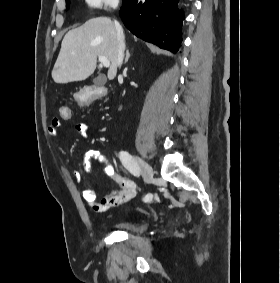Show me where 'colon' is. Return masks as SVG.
Here are the masks:
<instances>
[{
  "label": "colon",
  "instance_id": "colon-1",
  "mask_svg": "<svg viewBox=\"0 0 280 283\" xmlns=\"http://www.w3.org/2000/svg\"><path fill=\"white\" fill-rule=\"evenodd\" d=\"M81 94H74V99H77V103H65V105H60L58 108L59 119H73L77 115L76 111H72L71 105L78 108V104L86 105L92 102L94 99L102 97L105 93L103 87L93 86V87H83Z\"/></svg>",
  "mask_w": 280,
  "mask_h": 283
}]
</instances>
